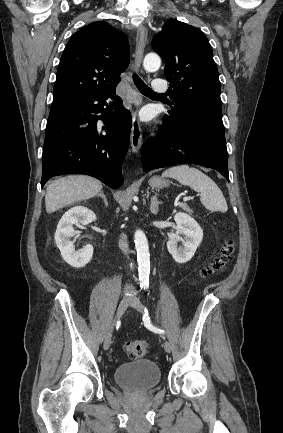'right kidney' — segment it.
Segmentation results:
<instances>
[{"label":"right kidney","instance_id":"right-kidney-1","mask_svg":"<svg viewBox=\"0 0 283 433\" xmlns=\"http://www.w3.org/2000/svg\"><path fill=\"white\" fill-rule=\"evenodd\" d=\"M96 220L95 213L83 206H76L69 209L60 219L56 232L55 242L65 262L75 268L84 267L93 256V246L87 244L80 251L74 250V243L71 237L76 234L73 226L75 224L87 225Z\"/></svg>","mask_w":283,"mask_h":433}]
</instances>
